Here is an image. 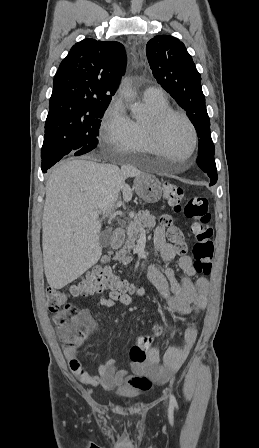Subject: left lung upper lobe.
<instances>
[{
    "label": "left lung upper lobe",
    "mask_w": 259,
    "mask_h": 448,
    "mask_svg": "<svg viewBox=\"0 0 259 448\" xmlns=\"http://www.w3.org/2000/svg\"><path fill=\"white\" fill-rule=\"evenodd\" d=\"M146 54L157 82L176 99L195 126L199 137L198 158L214 154L201 75L185 45L172 36L158 35L148 41Z\"/></svg>",
    "instance_id": "left-lung-upper-lobe-1"
}]
</instances>
